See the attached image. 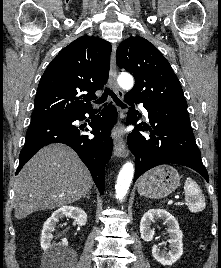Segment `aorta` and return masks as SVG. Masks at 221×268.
I'll return each instance as SVG.
<instances>
[{"label":"aorta","mask_w":221,"mask_h":268,"mask_svg":"<svg viewBox=\"0 0 221 268\" xmlns=\"http://www.w3.org/2000/svg\"><path fill=\"white\" fill-rule=\"evenodd\" d=\"M118 84L123 89L129 90L134 85L133 77L130 74L122 73L118 77ZM133 175H134V166L132 162H126L119 172L117 183L115 186L116 197L119 200H123L124 197L126 196L127 191L132 182Z\"/></svg>","instance_id":"1"}]
</instances>
